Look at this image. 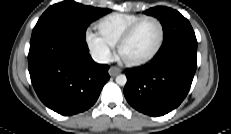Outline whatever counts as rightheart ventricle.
I'll return each instance as SVG.
<instances>
[{
    "label": "right heart ventricle",
    "mask_w": 231,
    "mask_h": 134,
    "mask_svg": "<svg viewBox=\"0 0 231 134\" xmlns=\"http://www.w3.org/2000/svg\"><path fill=\"white\" fill-rule=\"evenodd\" d=\"M141 17L136 14L112 13L100 19L96 28L107 42L115 46L123 33Z\"/></svg>",
    "instance_id": "1"
}]
</instances>
